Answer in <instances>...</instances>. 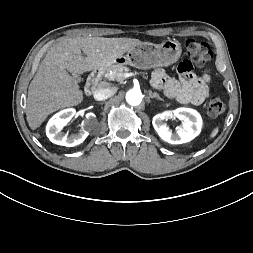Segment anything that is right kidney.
Masks as SVG:
<instances>
[{
  "label": "right kidney",
  "instance_id": "ca27d5eb",
  "mask_svg": "<svg viewBox=\"0 0 253 253\" xmlns=\"http://www.w3.org/2000/svg\"><path fill=\"white\" fill-rule=\"evenodd\" d=\"M76 111L73 108L64 109L55 114L46 126V135L52 143L73 147L81 144L88 136V129L96 122L94 113H88L85 121L82 122L81 129L77 134H64L61 132L70 120L75 116Z\"/></svg>",
  "mask_w": 253,
  "mask_h": 253
}]
</instances>
